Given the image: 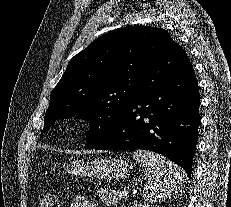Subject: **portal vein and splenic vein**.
<instances>
[{
  "instance_id": "portal-vein-and-splenic-vein-1",
  "label": "portal vein and splenic vein",
  "mask_w": 231,
  "mask_h": 207,
  "mask_svg": "<svg viewBox=\"0 0 231 207\" xmlns=\"http://www.w3.org/2000/svg\"><path fill=\"white\" fill-rule=\"evenodd\" d=\"M122 194H123L124 196H127V195L129 194V191L126 190V189H124V190L122 191Z\"/></svg>"
}]
</instances>
